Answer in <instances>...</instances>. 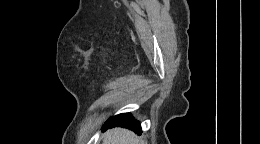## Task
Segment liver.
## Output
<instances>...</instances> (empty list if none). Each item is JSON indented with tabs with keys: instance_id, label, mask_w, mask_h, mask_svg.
<instances>
[{
	"instance_id": "liver-1",
	"label": "liver",
	"mask_w": 260,
	"mask_h": 144,
	"mask_svg": "<svg viewBox=\"0 0 260 144\" xmlns=\"http://www.w3.org/2000/svg\"><path fill=\"white\" fill-rule=\"evenodd\" d=\"M104 144H142L141 139L132 131L115 128L104 135Z\"/></svg>"
}]
</instances>
